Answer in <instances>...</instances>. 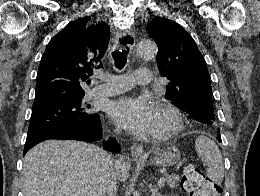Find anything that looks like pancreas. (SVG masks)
Returning <instances> with one entry per match:
<instances>
[{
  "instance_id": "cf45deb5",
  "label": "pancreas",
  "mask_w": 260,
  "mask_h": 196,
  "mask_svg": "<svg viewBox=\"0 0 260 196\" xmlns=\"http://www.w3.org/2000/svg\"><path fill=\"white\" fill-rule=\"evenodd\" d=\"M166 184L170 186V188H178L180 182V176H176V174H172V176H165Z\"/></svg>"
}]
</instances>
